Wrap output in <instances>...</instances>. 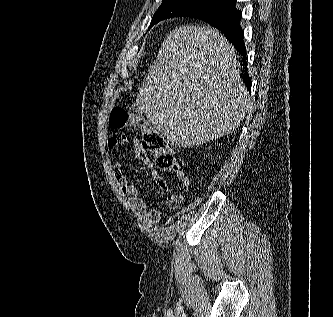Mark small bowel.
Segmentation results:
<instances>
[{
  "mask_svg": "<svg viewBox=\"0 0 333 317\" xmlns=\"http://www.w3.org/2000/svg\"><path fill=\"white\" fill-rule=\"evenodd\" d=\"M126 136L122 133H116L112 135L107 141V149L109 151L114 150L118 146L123 145L126 142ZM132 145L134 154L137 158L144 160L148 166H152L146 152L143 149L142 144L137 138L132 139ZM152 175L156 181L157 186L164 192L169 191V186L166 180L155 170H152ZM114 176L118 183L120 190L127 200L130 209L135 216L144 219L149 224H157L162 219V214L156 209H148L144 200L140 197L139 191L133 183H131L124 175L121 167V163L117 162L114 167ZM182 202V197L177 194L169 195L166 199V206L169 209L177 208Z\"/></svg>",
  "mask_w": 333,
  "mask_h": 317,
  "instance_id": "c3829d8e",
  "label": "small bowel"
}]
</instances>
